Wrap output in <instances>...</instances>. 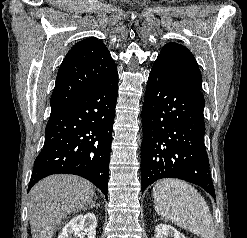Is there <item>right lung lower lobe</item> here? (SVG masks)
<instances>
[{"label": "right lung lower lobe", "mask_w": 247, "mask_h": 238, "mask_svg": "<svg viewBox=\"0 0 247 238\" xmlns=\"http://www.w3.org/2000/svg\"><path fill=\"white\" fill-rule=\"evenodd\" d=\"M117 94L116 72L80 98L51 112L28 191L44 177L67 173L88 179L107 199Z\"/></svg>", "instance_id": "1"}]
</instances>
